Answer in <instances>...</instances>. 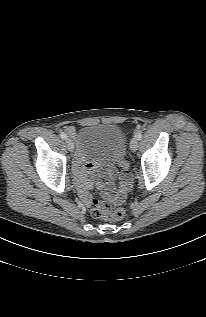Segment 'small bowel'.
<instances>
[{
  "instance_id": "small-bowel-1",
  "label": "small bowel",
  "mask_w": 206,
  "mask_h": 317,
  "mask_svg": "<svg viewBox=\"0 0 206 317\" xmlns=\"http://www.w3.org/2000/svg\"><path fill=\"white\" fill-rule=\"evenodd\" d=\"M67 132L71 136H75V129L72 127L67 128ZM96 169V164L93 162H86V155L84 152L80 151L77 153L74 161V173L76 178V185L82 202L88 207L92 201V197L89 190L93 187L94 181L92 180L93 171ZM109 176L114 175L113 170H109ZM131 184L130 172L124 170L122 173V179L120 187L117 191L110 183L107 186V194L113 196L116 200L121 201L124 199ZM99 187H102L101 182H97Z\"/></svg>"
}]
</instances>
